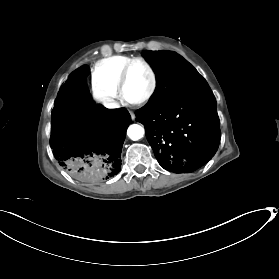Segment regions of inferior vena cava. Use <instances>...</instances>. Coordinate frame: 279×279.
Segmentation results:
<instances>
[{"mask_svg":"<svg viewBox=\"0 0 279 279\" xmlns=\"http://www.w3.org/2000/svg\"><path fill=\"white\" fill-rule=\"evenodd\" d=\"M104 106L107 108H119V105L113 99L110 98H107L104 101Z\"/></svg>","mask_w":279,"mask_h":279,"instance_id":"1","label":"inferior vena cava"}]
</instances>
